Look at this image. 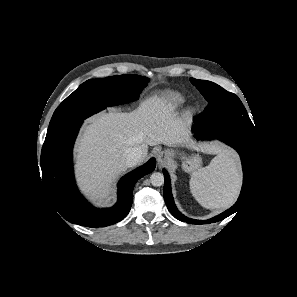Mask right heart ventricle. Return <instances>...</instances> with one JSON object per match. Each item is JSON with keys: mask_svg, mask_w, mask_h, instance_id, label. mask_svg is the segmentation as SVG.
<instances>
[{"mask_svg": "<svg viewBox=\"0 0 297 297\" xmlns=\"http://www.w3.org/2000/svg\"><path fill=\"white\" fill-rule=\"evenodd\" d=\"M185 100L177 94H171L166 98V103L171 108H178L184 104Z\"/></svg>", "mask_w": 297, "mask_h": 297, "instance_id": "obj_1", "label": "right heart ventricle"}]
</instances>
